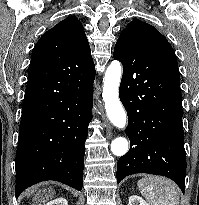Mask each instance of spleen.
Instances as JSON below:
<instances>
[{
    "instance_id": "obj_1",
    "label": "spleen",
    "mask_w": 199,
    "mask_h": 205,
    "mask_svg": "<svg viewBox=\"0 0 199 205\" xmlns=\"http://www.w3.org/2000/svg\"><path fill=\"white\" fill-rule=\"evenodd\" d=\"M141 195L149 205H179L176 185L159 176H145L137 183Z\"/></svg>"
}]
</instances>
